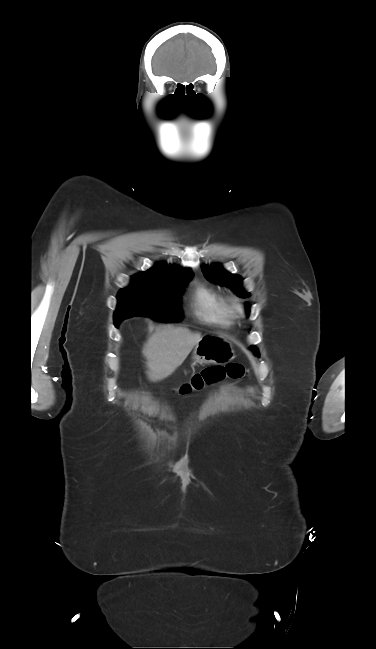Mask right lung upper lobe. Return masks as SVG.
Listing matches in <instances>:
<instances>
[{"label":"right lung upper lobe","instance_id":"1","mask_svg":"<svg viewBox=\"0 0 376 649\" xmlns=\"http://www.w3.org/2000/svg\"><path fill=\"white\" fill-rule=\"evenodd\" d=\"M192 272L190 269H180L179 266H167V264L157 263L151 269L141 272L139 274L147 275L150 277H164V276H176Z\"/></svg>","mask_w":376,"mask_h":649}]
</instances>
